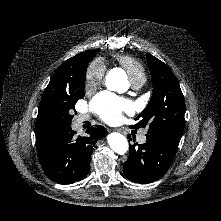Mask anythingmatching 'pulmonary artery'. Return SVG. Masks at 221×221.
<instances>
[{"label":"pulmonary artery","instance_id":"obj_1","mask_svg":"<svg viewBox=\"0 0 221 221\" xmlns=\"http://www.w3.org/2000/svg\"><path fill=\"white\" fill-rule=\"evenodd\" d=\"M144 81L145 80H139V81H136V82H132V87L135 88V89H138L143 85ZM86 119H87V116L81 115V116L78 117L77 121L82 122ZM146 140H147L146 131H144L142 134L139 135L138 142L142 144V143H145Z\"/></svg>","mask_w":221,"mask_h":221}]
</instances>
